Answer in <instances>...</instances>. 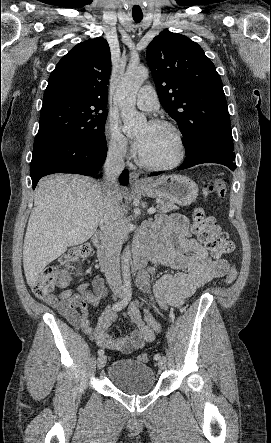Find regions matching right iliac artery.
<instances>
[{"label":"right iliac artery","instance_id":"1","mask_svg":"<svg viewBox=\"0 0 271 443\" xmlns=\"http://www.w3.org/2000/svg\"><path fill=\"white\" fill-rule=\"evenodd\" d=\"M131 297H132V290H131V287H130V286H125V287H124V296H123L122 300H121V301H118L117 303H115V304L113 305L112 309H113L114 311H120V310H122L123 308H125V307L128 305V303H129L130 300H131ZM98 354H99L100 356L103 355V354H104V350H102V349L98 350Z\"/></svg>","mask_w":271,"mask_h":443}]
</instances>
